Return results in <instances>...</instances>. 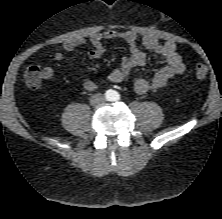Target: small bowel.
<instances>
[{
    "mask_svg": "<svg viewBox=\"0 0 222 219\" xmlns=\"http://www.w3.org/2000/svg\"><path fill=\"white\" fill-rule=\"evenodd\" d=\"M111 40H122L129 47V55L123 58L120 66L112 70L108 75L109 81L119 83L130 75L134 68L143 66L146 63V54L138 46L139 37L135 31L109 29L94 33L88 38L69 40L64 43L63 49L67 52H71L78 47L89 44L92 46V49L88 53L89 58L98 59L105 52L104 42ZM141 43L146 49L163 60L165 65L160 68L151 79L138 78L135 81L134 89L138 94H146L154 90L162 89L173 77L185 71L182 57L178 53L176 45L173 42H160L156 36L145 34L141 38ZM55 59L63 61L64 54L62 52L56 53ZM43 74L44 80L51 79L53 77L52 68H44ZM79 81L82 88L86 91H94L97 88V83L84 74H79Z\"/></svg>",
    "mask_w": 222,
    "mask_h": 219,
    "instance_id": "small-bowel-1",
    "label": "small bowel"
}]
</instances>
